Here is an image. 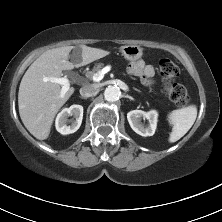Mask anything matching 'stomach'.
Returning <instances> with one entry per match:
<instances>
[{
    "label": "stomach",
    "instance_id": "1",
    "mask_svg": "<svg viewBox=\"0 0 222 222\" xmlns=\"http://www.w3.org/2000/svg\"><path fill=\"white\" fill-rule=\"evenodd\" d=\"M120 51L128 61H136L143 55V49L139 45H125L120 48Z\"/></svg>",
    "mask_w": 222,
    "mask_h": 222
}]
</instances>
